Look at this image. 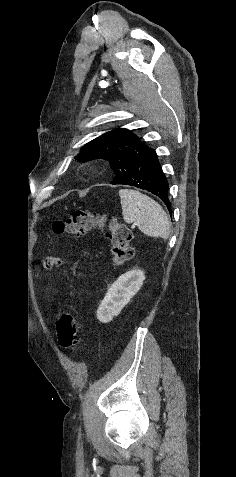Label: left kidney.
Returning <instances> with one entry per match:
<instances>
[{
    "mask_svg": "<svg viewBox=\"0 0 236 477\" xmlns=\"http://www.w3.org/2000/svg\"><path fill=\"white\" fill-rule=\"evenodd\" d=\"M145 280L142 270H131L121 275L108 289L97 310V318L102 323L112 321L139 291Z\"/></svg>",
    "mask_w": 236,
    "mask_h": 477,
    "instance_id": "1",
    "label": "left kidney"
}]
</instances>
